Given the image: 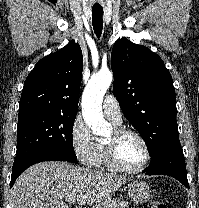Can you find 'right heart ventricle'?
I'll use <instances>...</instances> for the list:
<instances>
[{
    "label": "right heart ventricle",
    "instance_id": "e07e8e85",
    "mask_svg": "<svg viewBox=\"0 0 199 208\" xmlns=\"http://www.w3.org/2000/svg\"><path fill=\"white\" fill-rule=\"evenodd\" d=\"M95 165L98 167H107V168L111 167L106 160L103 142L98 143V152H97L96 159H95Z\"/></svg>",
    "mask_w": 199,
    "mask_h": 208
}]
</instances>
